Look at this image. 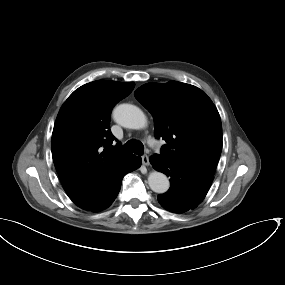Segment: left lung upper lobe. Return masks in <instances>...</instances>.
<instances>
[{"mask_svg": "<svg viewBox=\"0 0 285 285\" xmlns=\"http://www.w3.org/2000/svg\"><path fill=\"white\" fill-rule=\"evenodd\" d=\"M135 97L152 114L156 138L167 143L159 156L214 175L222 125L215 105L201 89L177 81L152 82L138 88Z\"/></svg>", "mask_w": 285, "mask_h": 285, "instance_id": "obj_1", "label": "left lung upper lobe"}]
</instances>
